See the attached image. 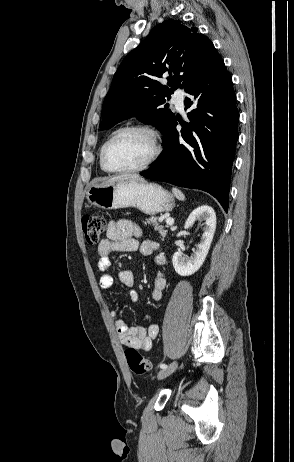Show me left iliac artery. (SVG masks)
Segmentation results:
<instances>
[{
    "label": "left iliac artery",
    "instance_id": "left-iliac-artery-1",
    "mask_svg": "<svg viewBox=\"0 0 294 462\" xmlns=\"http://www.w3.org/2000/svg\"><path fill=\"white\" fill-rule=\"evenodd\" d=\"M159 366H160V368H161V369H166V368H168V367H169V366H168V365H166V364H160Z\"/></svg>",
    "mask_w": 294,
    "mask_h": 462
}]
</instances>
